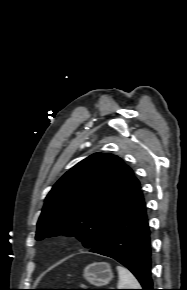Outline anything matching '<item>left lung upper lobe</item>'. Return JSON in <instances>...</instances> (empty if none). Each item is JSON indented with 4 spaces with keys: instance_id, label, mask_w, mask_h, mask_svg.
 <instances>
[{
    "instance_id": "obj_1",
    "label": "left lung upper lobe",
    "mask_w": 187,
    "mask_h": 290,
    "mask_svg": "<svg viewBox=\"0 0 187 290\" xmlns=\"http://www.w3.org/2000/svg\"><path fill=\"white\" fill-rule=\"evenodd\" d=\"M140 189L122 159L95 153L66 172L48 193L37 223L36 240L76 236L98 246Z\"/></svg>"
}]
</instances>
